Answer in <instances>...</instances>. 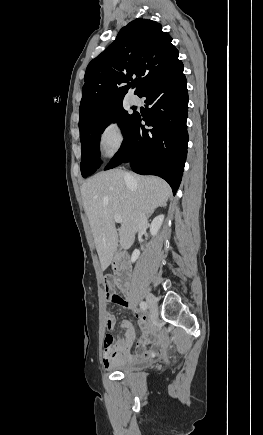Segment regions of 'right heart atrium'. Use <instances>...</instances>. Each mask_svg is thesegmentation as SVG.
Here are the masks:
<instances>
[{"label": "right heart atrium", "mask_w": 263, "mask_h": 435, "mask_svg": "<svg viewBox=\"0 0 263 435\" xmlns=\"http://www.w3.org/2000/svg\"><path fill=\"white\" fill-rule=\"evenodd\" d=\"M124 140L125 132L121 123L111 120L104 125L99 134V150L104 157L111 158L121 149Z\"/></svg>", "instance_id": "1"}]
</instances>
